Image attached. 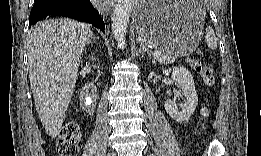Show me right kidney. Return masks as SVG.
<instances>
[{"mask_svg":"<svg viewBox=\"0 0 261 156\" xmlns=\"http://www.w3.org/2000/svg\"><path fill=\"white\" fill-rule=\"evenodd\" d=\"M91 58H92V60H96V58H95L93 55H92V57H91Z\"/></svg>","mask_w":261,"mask_h":156,"instance_id":"obj_1","label":"right kidney"}]
</instances>
